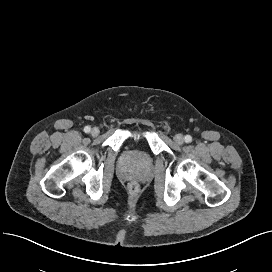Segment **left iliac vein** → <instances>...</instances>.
Masks as SVG:
<instances>
[{"label": "left iliac vein", "instance_id": "obj_1", "mask_svg": "<svg viewBox=\"0 0 272 272\" xmlns=\"http://www.w3.org/2000/svg\"><path fill=\"white\" fill-rule=\"evenodd\" d=\"M184 140H185V139H184V136H183L182 134H176V135L174 136V141H175V143L178 144V145L183 144Z\"/></svg>", "mask_w": 272, "mask_h": 272}]
</instances>
